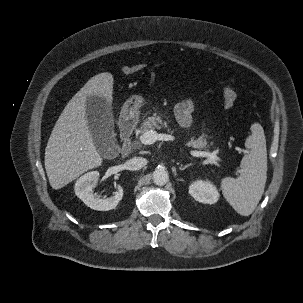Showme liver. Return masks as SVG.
Masks as SVG:
<instances>
[{
    "instance_id": "1",
    "label": "liver",
    "mask_w": 303,
    "mask_h": 303,
    "mask_svg": "<svg viewBox=\"0 0 303 303\" xmlns=\"http://www.w3.org/2000/svg\"><path fill=\"white\" fill-rule=\"evenodd\" d=\"M113 75L93 76L69 101L59 116L45 149V169L51 187L61 189L84 172L99 167L103 159L97 152L88 126L87 98H104L111 108Z\"/></svg>"
}]
</instances>
